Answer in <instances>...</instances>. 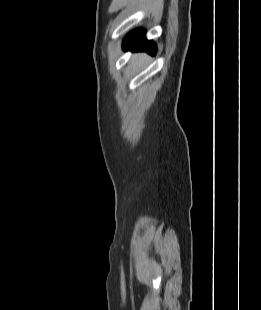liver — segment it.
Listing matches in <instances>:
<instances>
[{
    "label": "liver",
    "instance_id": "liver-1",
    "mask_svg": "<svg viewBox=\"0 0 261 310\" xmlns=\"http://www.w3.org/2000/svg\"><path fill=\"white\" fill-rule=\"evenodd\" d=\"M142 57V55H135V59Z\"/></svg>",
    "mask_w": 261,
    "mask_h": 310
}]
</instances>
